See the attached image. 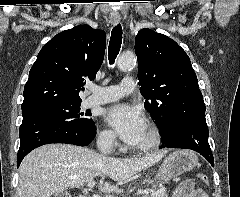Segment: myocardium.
Instances as JSON below:
<instances>
[{"instance_id":"1","label":"myocardium","mask_w":240,"mask_h":197,"mask_svg":"<svg viewBox=\"0 0 240 197\" xmlns=\"http://www.w3.org/2000/svg\"><path fill=\"white\" fill-rule=\"evenodd\" d=\"M149 140L141 145H134L132 148L139 153H150L158 150L162 144V133L159 127L153 123L147 125Z\"/></svg>"}]
</instances>
